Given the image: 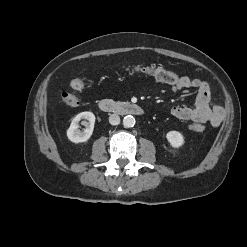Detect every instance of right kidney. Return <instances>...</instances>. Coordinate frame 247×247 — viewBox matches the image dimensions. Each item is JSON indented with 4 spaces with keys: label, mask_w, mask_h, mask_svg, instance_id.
<instances>
[{
    "label": "right kidney",
    "mask_w": 247,
    "mask_h": 247,
    "mask_svg": "<svg viewBox=\"0 0 247 247\" xmlns=\"http://www.w3.org/2000/svg\"><path fill=\"white\" fill-rule=\"evenodd\" d=\"M81 119H83L81 124L86 126V129L83 131L78 129ZM94 124L95 115L92 112L86 111L79 113L73 118L70 127L67 130L68 139L73 143H82L88 141L93 133Z\"/></svg>",
    "instance_id": "right-kidney-1"
}]
</instances>
